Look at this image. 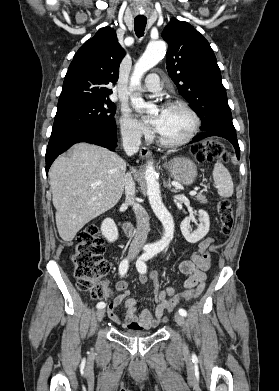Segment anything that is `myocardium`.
I'll return each instance as SVG.
<instances>
[{"label":"myocardium","mask_w":279,"mask_h":391,"mask_svg":"<svg viewBox=\"0 0 279 391\" xmlns=\"http://www.w3.org/2000/svg\"><path fill=\"white\" fill-rule=\"evenodd\" d=\"M173 107L183 108L191 116L192 127H191L190 131L188 132V134L184 138H182L180 140H176V141H171V140L165 139L156 130V136H157L159 143L165 147H171V148L172 147H179V146H182V145H185L186 143H188L194 137V135L196 134V132L200 126V118H199L198 114L195 112V110L187 102H185L183 100H172V101L167 102L165 105V109L173 108Z\"/></svg>","instance_id":"myocardium-1"}]
</instances>
